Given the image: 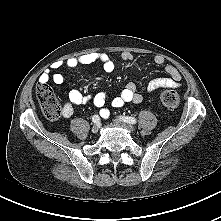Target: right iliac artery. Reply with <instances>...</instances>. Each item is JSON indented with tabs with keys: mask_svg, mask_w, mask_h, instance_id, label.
Here are the masks:
<instances>
[{
	"mask_svg": "<svg viewBox=\"0 0 221 221\" xmlns=\"http://www.w3.org/2000/svg\"><path fill=\"white\" fill-rule=\"evenodd\" d=\"M92 121H93L94 123H99V122H100V117H99L98 115H93Z\"/></svg>",
	"mask_w": 221,
	"mask_h": 221,
	"instance_id": "82829eb1",
	"label": "right iliac artery"
}]
</instances>
